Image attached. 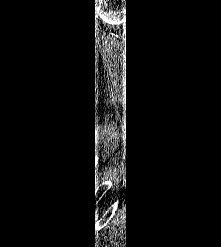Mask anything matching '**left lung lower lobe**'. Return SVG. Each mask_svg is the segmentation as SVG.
I'll return each instance as SVG.
<instances>
[{"mask_svg": "<svg viewBox=\"0 0 221 247\" xmlns=\"http://www.w3.org/2000/svg\"><path fill=\"white\" fill-rule=\"evenodd\" d=\"M69 195L89 222L101 219L104 205L101 179L92 163L84 162L79 166L72 177Z\"/></svg>", "mask_w": 221, "mask_h": 247, "instance_id": "1", "label": "left lung lower lobe"}]
</instances>
